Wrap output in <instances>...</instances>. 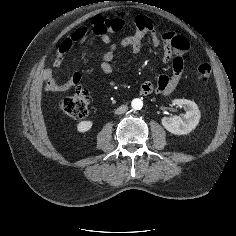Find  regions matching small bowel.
I'll use <instances>...</instances> for the list:
<instances>
[{
	"label": "small bowel",
	"mask_w": 236,
	"mask_h": 236,
	"mask_svg": "<svg viewBox=\"0 0 236 236\" xmlns=\"http://www.w3.org/2000/svg\"><path fill=\"white\" fill-rule=\"evenodd\" d=\"M136 30L134 33L127 35L121 39L119 43L113 42L110 36V31H103L101 27L95 28L93 31L104 44L109 48L103 54L100 69L105 74H110L113 71L112 61L115 57L118 46L130 48L133 53H139L145 36L149 35L152 45L155 47L162 46V62L170 63L172 73L170 75H160L156 84L146 81L140 86L141 95H150L158 93L168 95L174 91L180 82L184 72L183 56L189 51L188 40L181 35L172 31L157 33L150 19L144 18L135 23ZM86 39L85 34L79 36L72 35L65 39L53 60L52 68H46L42 73V78L45 82V88L48 92L58 93L68 90L80 82V75L74 73L65 82H59L54 76V70H59L62 67L64 55L71 50L75 44L81 43Z\"/></svg>",
	"instance_id": "small-bowel-1"
}]
</instances>
